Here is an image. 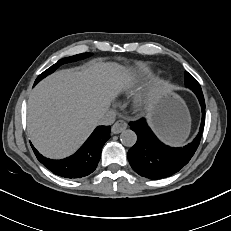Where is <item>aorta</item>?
I'll return each mask as SVG.
<instances>
[{
    "label": "aorta",
    "mask_w": 231,
    "mask_h": 231,
    "mask_svg": "<svg viewBox=\"0 0 231 231\" xmlns=\"http://www.w3.org/2000/svg\"><path fill=\"white\" fill-rule=\"evenodd\" d=\"M120 141L124 146L132 147L137 141V135L133 130H124L120 134Z\"/></svg>",
    "instance_id": "1"
}]
</instances>
